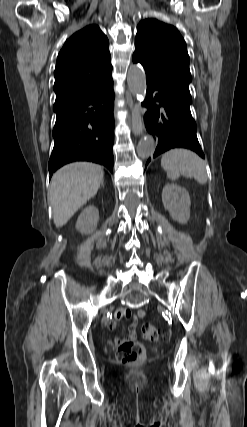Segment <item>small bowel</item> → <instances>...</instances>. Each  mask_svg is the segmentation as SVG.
<instances>
[{
    "instance_id": "obj_1",
    "label": "small bowel",
    "mask_w": 247,
    "mask_h": 427,
    "mask_svg": "<svg viewBox=\"0 0 247 427\" xmlns=\"http://www.w3.org/2000/svg\"><path fill=\"white\" fill-rule=\"evenodd\" d=\"M145 316L144 310H139L137 313L132 314L130 310L128 309H118L114 314V319L109 324L110 330H115L117 327L118 322H120L122 319H132L133 322L129 326V333L128 336L124 339L117 338L115 339V342L117 344H122L127 341H133L136 339V324L138 320L143 318Z\"/></svg>"
}]
</instances>
